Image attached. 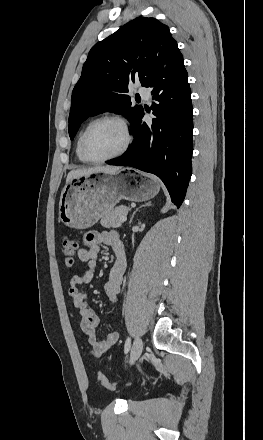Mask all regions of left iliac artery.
<instances>
[{
	"instance_id": "44dca946",
	"label": "left iliac artery",
	"mask_w": 263,
	"mask_h": 440,
	"mask_svg": "<svg viewBox=\"0 0 263 440\" xmlns=\"http://www.w3.org/2000/svg\"><path fill=\"white\" fill-rule=\"evenodd\" d=\"M130 347H131V339L128 337L125 342L124 352L128 353Z\"/></svg>"
}]
</instances>
